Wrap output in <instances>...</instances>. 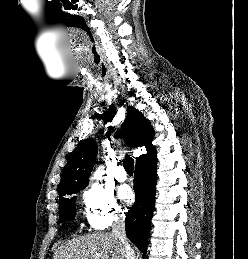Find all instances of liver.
<instances>
[{"mask_svg": "<svg viewBox=\"0 0 248 259\" xmlns=\"http://www.w3.org/2000/svg\"><path fill=\"white\" fill-rule=\"evenodd\" d=\"M53 259L126 258L124 246L113 233H93L79 236L60 245Z\"/></svg>", "mask_w": 248, "mask_h": 259, "instance_id": "obj_1", "label": "liver"}]
</instances>
